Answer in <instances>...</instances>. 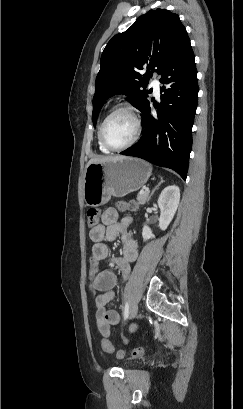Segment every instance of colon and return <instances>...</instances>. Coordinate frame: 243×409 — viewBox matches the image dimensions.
<instances>
[{
	"label": "colon",
	"mask_w": 243,
	"mask_h": 409,
	"mask_svg": "<svg viewBox=\"0 0 243 409\" xmlns=\"http://www.w3.org/2000/svg\"><path fill=\"white\" fill-rule=\"evenodd\" d=\"M117 207L121 211H135L137 209V204L135 201H130V202L120 201L117 203ZM100 216H101V210L99 208H96V207L89 208L87 211V226L91 229L96 227L99 224ZM101 347L107 353H115L118 358H123L126 356L125 352L123 351L115 352L113 346L106 338L102 339ZM145 355H146V350L142 347L133 349L131 353L129 354L131 358H142Z\"/></svg>",
	"instance_id": "colon-1"
}]
</instances>
